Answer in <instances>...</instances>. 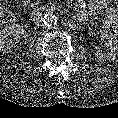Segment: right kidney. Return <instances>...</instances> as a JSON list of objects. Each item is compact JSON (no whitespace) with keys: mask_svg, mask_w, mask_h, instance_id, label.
<instances>
[{"mask_svg":"<svg viewBox=\"0 0 118 118\" xmlns=\"http://www.w3.org/2000/svg\"><path fill=\"white\" fill-rule=\"evenodd\" d=\"M25 29L23 26H9L0 31V51H8L13 47V43L10 39L13 38L19 41L24 37Z\"/></svg>","mask_w":118,"mask_h":118,"instance_id":"obj_1","label":"right kidney"}]
</instances>
